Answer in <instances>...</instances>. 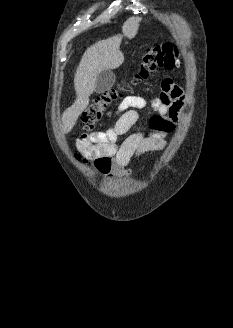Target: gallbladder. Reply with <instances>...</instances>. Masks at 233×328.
<instances>
[{
  "label": "gallbladder",
  "mask_w": 233,
  "mask_h": 328,
  "mask_svg": "<svg viewBox=\"0 0 233 328\" xmlns=\"http://www.w3.org/2000/svg\"><path fill=\"white\" fill-rule=\"evenodd\" d=\"M115 83V75L111 70H103L96 79L95 92L103 93L109 90Z\"/></svg>",
  "instance_id": "gallbladder-1"
}]
</instances>
